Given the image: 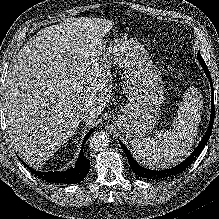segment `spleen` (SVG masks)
Listing matches in <instances>:
<instances>
[{"label": "spleen", "instance_id": "obj_1", "mask_svg": "<svg viewBox=\"0 0 219 219\" xmlns=\"http://www.w3.org/2000/svg\"><path fill=\"white\" fill-rule=\"evenodd\" d=\"M201 108L195 88L188 89L169 130L131 141L133 157L149 169H165L181 161L196 138Z\"/></svg>", "mask_w": 219, "mask_h": 219}]
</instances>
